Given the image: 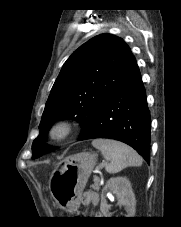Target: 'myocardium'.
<instances>
[{"instance_id": "obj_1", "label": "myocardium", "mask_w": 181, "mask_h": 227, "mask_svg": "<svg viewBox=\"0 0 181 227\" xmlns=\"http://www.w3.org/2000/svg\"><path fill=\"white\" fill-rule=\"evenodd\" d=\"M74 132V125L68 120H59L55 122L48 131V137L51 141L61 143L66 141Z\"/></svg>"}]
</instances>
